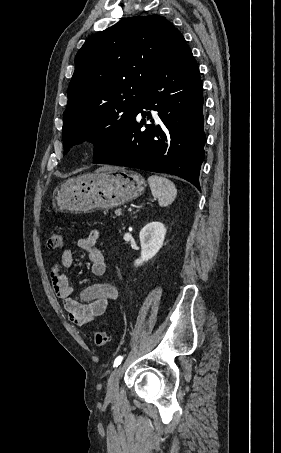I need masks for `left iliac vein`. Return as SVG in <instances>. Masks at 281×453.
Segmentation results:
<instances>
[{
  "label": "left iliac vein",
  "mask_w": 281,
  "mask_h": 453,
  "mask_svg": "<svg viewBox=\"0 0 281 453\" xmlns=\"http://www.w3.org/2000/svg\"><path fill=\"white\" fill-rule=\"evenodd\" d=\"M123 371L121 366H118L114 371L111 372L108 384L107 393L108 395H118L119 393V374Z\"/></svg>",
  "instance_id": "left-iliac-vein-1"
}]
</instances>
